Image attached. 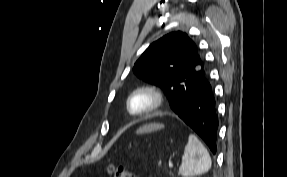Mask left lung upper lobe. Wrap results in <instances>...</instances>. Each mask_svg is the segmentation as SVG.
Returning <instances> with one entry per match:
<instances>
[{"mask_svg": "<svg viewBox=\"0 0 287 177\" xmlns=\"http://www.w3.org/2000/svg\"><path fill=\"white\" fill-rule=\"evenodd\" d=\"M203 67L195 43L178 31L153 42L136 61L133 71L139 78L160 86L173 108L185 95L186 87L198 82Z\"/></svg>", "mask_w": 287, "mask_h": 177, "instance_id": "obj_1", "label": "left lung upper lobe"}]
</instances>
